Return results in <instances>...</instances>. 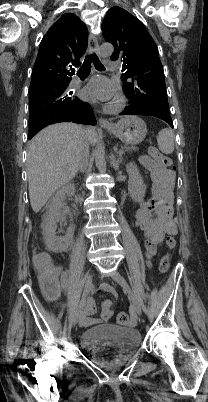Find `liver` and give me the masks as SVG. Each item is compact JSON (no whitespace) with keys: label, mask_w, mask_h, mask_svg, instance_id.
Segmentation results:
<instances>
[{"label":"liver","mask_w":208,"mask_h":402,"mask_svg":"<svg viewBox=\"0 0 208 402\" xmlns=\"http://www.w3.org/2000/svg\"><path fill=\"white\" fill-rule=\"evenodd\" d=\"M82 136L93 146L97 142L95 128L83 130L76 124H53L31 140L27 170L33 212H40L58 188L75 178L78 172L76 152Z\"/></svg>","instance_id":"liver-1"}]
</instances>
